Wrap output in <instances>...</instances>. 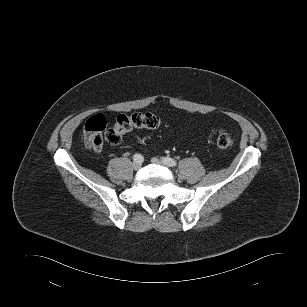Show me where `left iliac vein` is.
I'll use <instances>...</instances> for the list:
<instances>
[{
  "label": "left iliac vein",
  "instance_id": "1",
  "mask_svg": "<svg viewBox=\"0 0 307 307\" xmlns=\"http://www.w3.org/2000/svg\"><path fill=\"white\" fill-rule=\"evenodd\" d=\"M152 163L157 164V165H166L164 162H162L160 159L158 158H152Z\"/></svg>",
  "mask_w": 307,
  "mask_h": 307
}]
</instances>
